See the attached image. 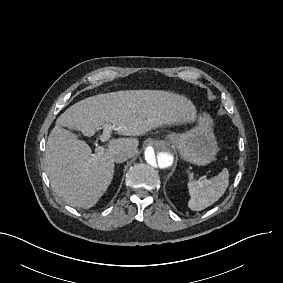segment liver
I'll list each match as a JSON object with an SVG mask.
<instances>
[{"label": "liver", "mask_w": 283, "mask_h": 283, "mask_svg": "<svg viewBox=\"0 0 283 283\" xmlns=\"http://www.w3.org/2000/svg\"><path fill=\"white\" fill-rule=\"evenodd\" d=\"M196 113L185 96L163 90L117 91L75 103L59 116L48 137L45 164L53 191L71 206H94L112 181L115 151L128 147L136 154L139 145L137 138L113 139L92 155L85 141L62 127L91 137L112 124L120 135L139 136L162 125L194 122Z\"/></svg>", "instance_id": "obj_1"}]
</instances>
